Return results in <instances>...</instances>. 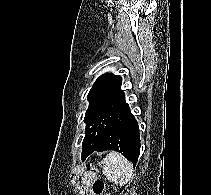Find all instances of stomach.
<instances>
[{
  "label": "stomach",
  "instance_id": "0dacf381",
  "mask_svg": "<svg viewBox=\"0 0 211 195\" xmlns=\"http://www.w3.org/2000/svg\"><path fill=\"white\" fill-rule=\"evenodd\" d=\"M94 180H96V176L93 172H88L84 177V182L88 185L92 183Z\"/></svg>",
  "mask_w": 211,
  "mask_h": 195
}]
</instances>
